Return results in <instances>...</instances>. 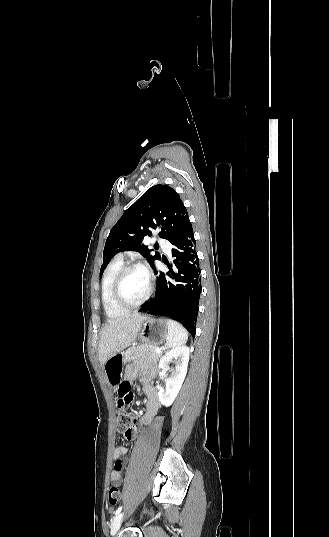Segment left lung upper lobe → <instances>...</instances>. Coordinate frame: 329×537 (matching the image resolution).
Listing matches in <instances>:
<instances>
[{
    "mask_svg": "<svg viewBox=\"0 0 329 537\" xmlns=\"http://www.w3.org/2000/svg\"><path fill=\"white\" fill-rule=\"evenodd\" d=\"M188 223L187 210L174 189L162 184L149 188L111 229L104 247L100 278L111 258L120 251L140 252L154 267V260L160 256L152 255L142 244L144 237L159 230V236L172 243Z\"/></svg>",
    "mask_w": 329,
    "mask_h": 537,
    "instance_id": "obj_1",
    "label": "left lung upper lobe"
}]
</instances>
